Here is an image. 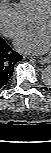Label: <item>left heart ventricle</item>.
<instances>
[{"label": "left heart ventricle", "instance_id": "left-heart-ventricle-1", "mask_svg": "<svg viewBox=\"0 0 51 153\" xmlns=\"http://www.w3.org/2000/svg\"><path fill=\"white\" fill-rule=\"evenodd\" d=\"M39 29H44L51 34V18H44L35 23Z\"/></svg>", "mask_w": 51, "mask_h": 153}]
</instances>
